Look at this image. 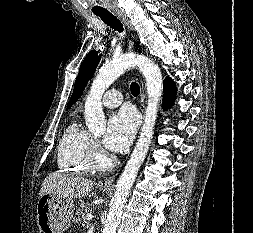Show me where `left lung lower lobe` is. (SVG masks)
Here are the masks:
<instances>
[{
    "label": "left lung lower lobe",
    "instance_id": "left-lung-lower-lobe-1",
    "mask_svg": "<svg viewBox=\"0 0 253 233\" xmlns=\"http://www.w3.org/2000/svg\"><path fill=\"white\" fill-rule=\"evenodd\" d=\"M163 91L165 93L164 108L168 109L173 104L176 94V87L171 79L166 78V80L164 81Z\"/></svg>",
    "mask_w": 253,
    "mask_h": 233
}]
</instances>
